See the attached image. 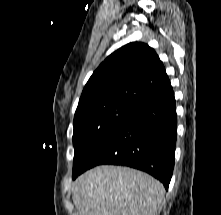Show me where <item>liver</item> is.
<instances>
[{
    "instance_id": "obj_1",
    "label": "liver",
    "mask_w": 221,
    "mask_h": 215,
    "mask_svg": "<svg viewBox=\"0 0 221 215\" xmlns=\"http://www.w3.org/2000/svg\"><path fill=\"white\" fill-rule=\"evenodd\" d=\"M162 183L141 171L104 165L77 178L72 199L79 215H156Z\"/></svg>"
}]
</instances>
